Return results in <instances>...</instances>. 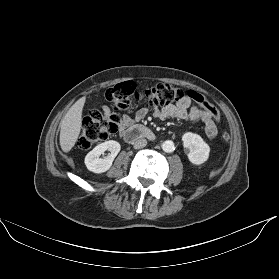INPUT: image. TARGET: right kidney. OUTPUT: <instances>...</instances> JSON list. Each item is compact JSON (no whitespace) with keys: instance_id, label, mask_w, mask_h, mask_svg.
<instances>
[{"instance_id":"1","label":"right kidney","mask_w":279,"mask_h":279,"mask_svg":"<svg viewBox=\"0 0 279 279\" xmlns=\"http://www.w3.org/2000/svg\"><path fill=\"white\" fill-rule=\"evenodd\" d=\"M120 149V144L114 140L106 141L97 145L85 157V165L87 169L97 174L106 172L112 166L113 160L119 153ZM107 150L110 151V153L106 157L101 158L100 156Z\"/></svg>"}]
</instances>
